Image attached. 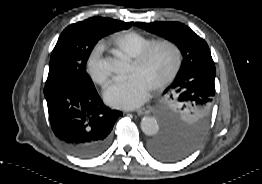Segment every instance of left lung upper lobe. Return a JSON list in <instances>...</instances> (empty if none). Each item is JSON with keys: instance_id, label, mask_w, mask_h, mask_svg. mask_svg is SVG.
I'll list each match as a JSON object with an SVG mask.
<instances>
[{"instance_id": "1", "label": "left lung upper lobe", "mask_w": 262, "mask_h": 184, "mask_svg": "<svg viewBox=\"0 0 262 184\" xmlns=\"http://www.w3.org/2000/svg\"><path fill=\"white\" fill-rule=\"evenodd\" d=\"M136 25L175 42L183 54L177 77L163 93L159 114L168 137L195 149L211 124L216 68L209 47L179 22H137Z\"/></svg>"}]
</instances>
